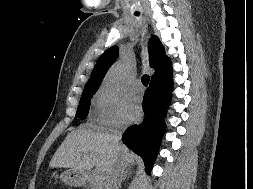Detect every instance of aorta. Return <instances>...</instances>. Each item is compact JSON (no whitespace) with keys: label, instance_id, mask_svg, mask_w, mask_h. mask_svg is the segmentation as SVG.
<instances>
[{"label":"aorta","instance_id":"obj_1","mask_svg":"<svg viewBox=\"0 0 253 189\" xmlns=\"http://www.w3.org/2000/svg\"><path fill=\"white\" fill-rule=\"evenodd\" d=\"M126 72V67L124 64L115 65L109 72L107 79L105 81V86L107 89L112 91H118L122 86L123 77Z\"/></svg>","mask_w":253,"mask_h":189}]
</instances>
